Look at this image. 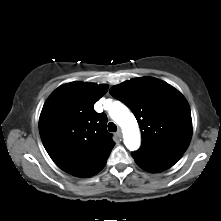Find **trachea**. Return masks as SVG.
Listing matches in <instances>:
<instances>
[{
    "label": "trachea",
    "instance_id": "obj_1",
    "mask_svg": "<svg viewBox=\"0 0 221 221\" xmlns=\"http://www.w3.org/2000/svg\"><path fill=\"white\" fill-rule=\"evenodd\" d=\"M108 130H109L110 132H116V131H117V126H116L113 122H110V123L108 124Z\"/></svg>",
    "mask_w": 221,
    "mask_h": 221
}]
</instances>
